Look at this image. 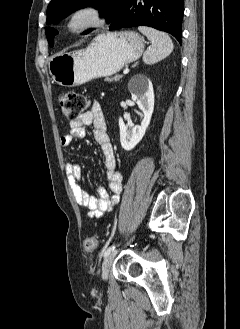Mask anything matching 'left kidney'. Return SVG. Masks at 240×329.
Segmentation results:
<instances>
[{
    "label": "left kidney",
    "mask_w": 240,
    "mask_h": 329,
    "mask_svg": "<svg viewBox=\"0 0 240 329\" xmlns=\"http://www.w3.org/2000/svg\"><path fill=\"white\" fill-rule=\"evenodd\" d=\"M129 91L132 100L143 112L141 125L130 127L119 118L120 142L124 150H132L144 137L154 111V90L152 82L143 74H137L130 80Z\"/></svg>",
    "instance_id": "obj_1"
}]
</instances>
